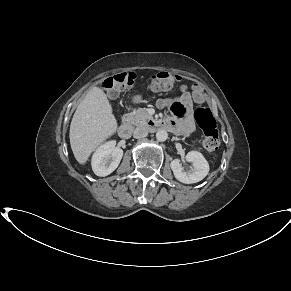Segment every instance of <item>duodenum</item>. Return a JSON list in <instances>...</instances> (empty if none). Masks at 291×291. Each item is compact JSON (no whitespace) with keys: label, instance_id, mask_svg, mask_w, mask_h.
<instances>
[{"label":"duodenum","instance_id":"410a0bca","mask_svg":"<svg viewBox=\"0 0 291 291\" xmlns=\"http://www.w3.org/2000/svg\"><path fill=\"white\" fill-rule=\"evenodd\" d=\"M148 127L154 130H159L166 128V125L164 124V121H149ZM132 133V126L130 122L127 119H124L123 122L118 127V134L123 137H129Z\"/></svg>","mask_w":291,"mask_h":291}]
</instances>
